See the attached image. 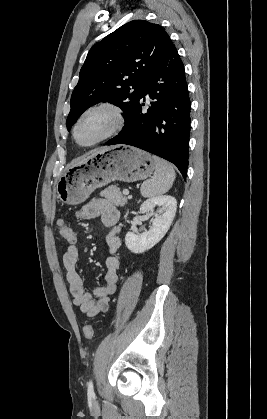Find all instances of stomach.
<instances>
[{
  "label": "stomach",
  "instance_id": "0dacf381",
  "mask_svg": "<svg viewBox=\"0 0 267 419\" xmlns=\"http://www.w3.org/2000/svg\"><path fill=\"white\" fill-rule=\"evenodd\" d=\"M154 169L153 158L145 151L126 145L107 147L68 168L56 184L57 197L63 203L77 205L96 188L115 180L128 183L144 180Z\"/></svg>",
  "mask_w": 267,
  "mask_h": 419
}]
</instances>
